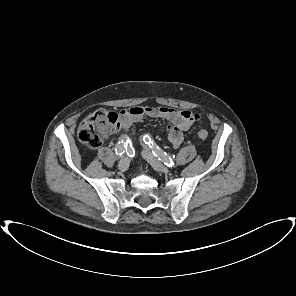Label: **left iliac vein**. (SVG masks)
<instances>
[{"label": "left iliac vein", "mask_w": 296, "mask_h": 296, "mask_svg": "<svg viewBox=\"0 0 296 296\" xmlns=\"http://www.w3.org/2000/svg\"><path fill=\"white\" fill-rule=\"evenodd\" d=\"M142 155L144 157V159L149 162L151 164V166L159 171V172H164L167 173L168 172V168L163 165L152 153H150L148 150H144L142 152Z\"/></svg>", "instance_id": "4c4485c4"}]
</instances>
